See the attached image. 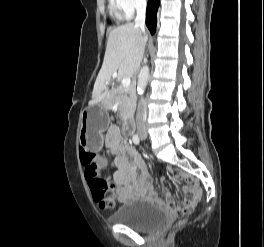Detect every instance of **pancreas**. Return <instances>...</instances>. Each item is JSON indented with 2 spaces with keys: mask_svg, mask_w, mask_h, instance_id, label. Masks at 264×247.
<instances>
[{
  "mask_svg": "<svg viewBox=\"0 0 264 247\" xmlns=\"http://www.w3.org/2000/svg\"><path fill=\"white\" fill-rule=\"evenodd\" d=\"M119 101L122 102L120 108V118L122 120H126L130 117L134 109L135 94L133 89L119 87L113 90L111 96L108 98L106 106L112 108L114 105L118 104Z\"/></svg>",
  "mask_w": 264,
  "mask_h": 247,
  "instance_id": "obj_1",
  "label": "pancreas"
}]
</instances>
